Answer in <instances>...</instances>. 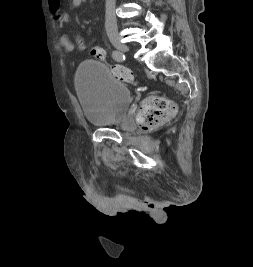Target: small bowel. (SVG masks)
I'll list each match as a JSON object with an SVG mask.
<instances>
[{
	"label": "small bowel",
	"instance_id": "small-bowel-1",
	"mask_svg": "<svg viewBox=\"0 0 253 267\" xmlns=\"http://www.w3.org/2000/svg\"><path fill=\"white\" fill-rule=\"evenodd\" d=\"M86 2L87 0H71V4L73 7H82L83 5H85ZM48 4L52 18L55 21L63 22L65 19V14L61 9V0H48ZM58 40L60 46L66 52H72L75 50V45L73 43V40L67 33L61 32Z\"/></svg>",
	"mask_w": 253,
	"mask_h": 267
}]
</instances>
